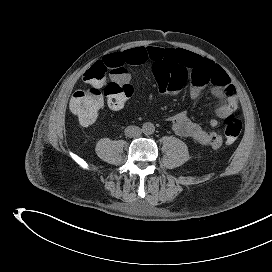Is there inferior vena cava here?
Returning a JSON list of instances; mask_svg holds the SVG:
<instances>
[{
	"mask_svg": "<svg viewBox=\"0 0 272 272\" xmlns=\"http://www.w3.org/2000/svg\"><path fill=\"white\" fill-rule=\"evenodd\" d=\"M142 133V129L137 126H128L125 129V135L127 137H138Z\"/></svg>",
	"mask_w": 272,
	"mask_h": 272,
	"instance_id": "inferior-vena-cava-1",
	"label": "inferior vena cava"
}]
</instances>
